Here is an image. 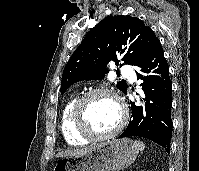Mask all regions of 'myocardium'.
Listing matches in <instances>:
<instances>
[{
  "label": "myocardium",
  "instance_id": "f54148a6",
  "mask_svg": "<svg viewBox=\"0 0 199 171\" xmlns=\"http://www.w3.org/2000/svg\"><path fill=\"white\" fill-rule=\"evenodd\" d=\"M97 95H108L109 97L114 99L118 104L121 112V118L118 125L113 130L106 133L94 132L89 126L87 120V103L92 97ZM128 117V108L123 98L113 90L104 87L91 89L83 93L81 96L77 98L72 110V121L75 131L79 135L89 140H105L117 136L125 128L128 121Z\"/></svg>",
  "mask_w": 199,
  "mask_h": 171
}]
</instances>
